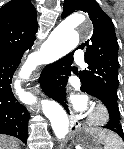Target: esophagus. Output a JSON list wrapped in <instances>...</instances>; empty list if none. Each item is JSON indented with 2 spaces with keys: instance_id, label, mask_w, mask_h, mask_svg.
<instances>
[{
  "instance_id": "1",
  "label": "esophagus",
  "mask_w": 124,
  "mask_h": 149,
  "mask_svg": "<svg viewBox=\"0 0 124 149\" xmlns=\"http://www.w3.org/2000/svg\"><path fill=\"white\" fill-rule=\"evenodd\" d=\"M70 121H71V126L74 127L75 129H78L80 127V123L74 119L73 112L70 110Z\"/></svg>"
}]
</instances>
